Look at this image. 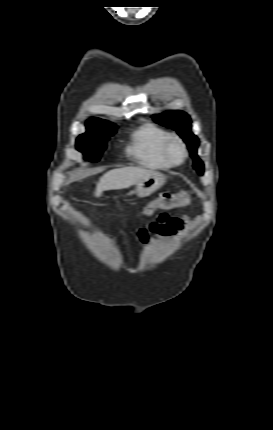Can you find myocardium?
<instances>
[{
    "mask_svg": "<svg viewBox=\"0 0 273 430\" xmlns=\"http://www.w3.org/2000/svg\"><path fill=\"white\" fill-rule=\"evenodd\" d=\"M173 144H177L181 149V156L178 159L173 158L171 155V146ZM162 153L169 164L172 166H178L182 164L187 158V147L181 137L171 134L163 144Z\"/></svg>",
    "mask_w": 273,
    "mask_h": 430,
    "instance_id": "1",
    "label": "myocardium"
}]
</instances>
